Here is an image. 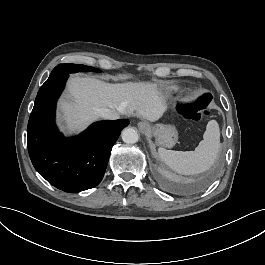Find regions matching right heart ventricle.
Here are the masks:
<instances>
[{"instance_id": "1", "label": "right heart ventricle", "mask_w": 265, "mask_h": 265, "mask_svg": "<svg viewBox=\"0 0 265 265\" xmlns=\"http://www.w3.org/2000/svg\"><path fill=\"white\" fill-rule=\"evenodd\" d=\"M183 89V86L179 83H172L162 87L159 91L153 93V97L156 99H170L178 95Z\"/></svg>"}]
</instances>
